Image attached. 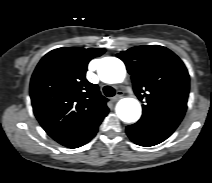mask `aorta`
Instances as JSON below:
<instances>
[{"label": "aorta", "mask_w": 212, "mask_h": 183, "mask_svg": "<svg viewBox=\"0 0 212 183\" xmlns=\"http://www.w3.org/2000/svg\"><path fill=\"white\" fill-rule=\"evenodd\" d=\"M98 75L105 83H121L126 76V68L120 59L104 57L99 62ZM116 113L123 122H136L141 116V105L134 98H125L118 102Z\"/></svg>", "instance_id": "762f6f07"}]
</instances>
